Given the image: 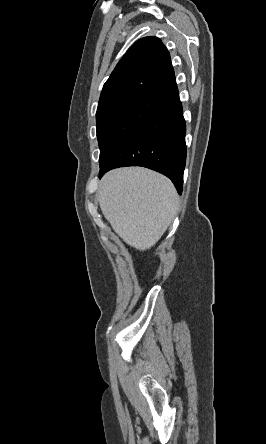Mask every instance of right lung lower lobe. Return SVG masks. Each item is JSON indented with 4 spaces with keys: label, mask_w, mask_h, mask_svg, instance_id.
<instances>
[{
    "label": "right lung lower lobe",
    "mask_w": 266,
    "mask_h": 444,
    "mask_svg": "<svg viewBox=\"0 0 266 444\" xmlns=\"http://www.w3.org/2000/svg\"><path fill=\"white\" fill-rule=\"evenodd\" d=\"M186 125L179 97L165 104L100 163V176L125 166H142L171 179L182 192L186 163Z\"/></svg>",
    "instance_id": "right-lung-lower-lobe-1"
}]
</instances>
